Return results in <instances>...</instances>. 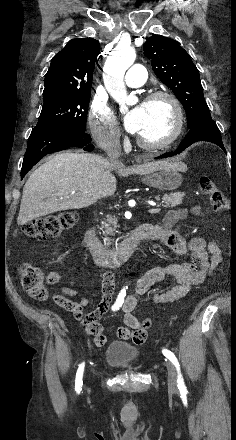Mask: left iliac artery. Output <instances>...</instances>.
Returning <instances> with one entry per match:
<instances>
[{"label":"left iliac artery","mask_w":236,"mask_h":440,"mask_svg":"<svg viewBox=\"0 0 236 440\" xmlns=\"http://www.w3.org/2000/svg\"><path fill=\"white\" fill-rule=\"evenodd\" d=\"M162 353L175 365L177 373H178V379H177L178 385L177 386H178L179 390L185 391L186 386H185L184 379H183L181 371H180V365H179V362H178L176 356L171 351H169L167 349H163Z\"/></svg>","instance_id":"obj_1"}]
</instances>
